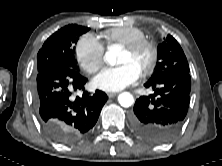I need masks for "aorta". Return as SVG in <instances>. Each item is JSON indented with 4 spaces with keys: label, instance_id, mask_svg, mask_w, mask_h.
I'll use <instances>...</instances> for the list:
<instances>
[{
    "label": "aorta",
    "instance_id": "aorta-1",
    "mask_svg": "<svg viewBox=\"0 0 222 166\" xmlns=\"http://www.w3.org/2000/svg\"><path fill=\"white\" fill-rule=\"evenodd\" d=\"M118 49L116 47L110 48L104 56L105 61L111 65L117 62ZM118 102L123 107H129L134 103V98L129 92H123L118 96Z\"/></svg>",
    "mask_w": 222,
    "mask_h": 166
}]
</instances>
